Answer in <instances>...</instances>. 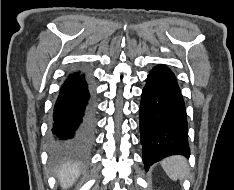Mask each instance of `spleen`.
<instances>
[{"mask_svg":"<svg viewBox=\"0 0 234 190\" xmlns=\"http://www.w3.org/2000/svg\"><path fill=\"white\" fill-rule=\"evenodd\" d=\"M161 165L168 177L174 181L186 178L189 172L186 159L179 155L164 159Z\"/></svg>","mask_w":234,"mask_h":190,"instance_id":"spleen-1","label":"spleen"}]
</instances>
